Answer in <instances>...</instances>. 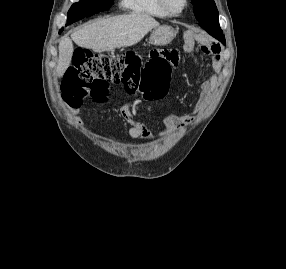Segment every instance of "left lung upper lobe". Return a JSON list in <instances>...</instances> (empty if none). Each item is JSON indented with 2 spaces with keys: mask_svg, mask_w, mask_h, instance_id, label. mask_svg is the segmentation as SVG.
Returning <instances> with one entry per match:
<instances>
[{
  "mask_svg": "<svg viewBox=\"0 0 286 269\" xmlns=\"http://www.w3.org/2000/svg\"><path fill=\"white\" fill-rule=\"evenodd\" d=\"M191 1L195 5L193 11L199 25L222 43L225 42L223 31L219 26V14L214 0Z\"/></svg>",
  "mask_w": 286,
  "mask_h": 269,
  "instance_id": "5c2ea615",
  "label": "left lung upper lobe"
}]
</instances>
